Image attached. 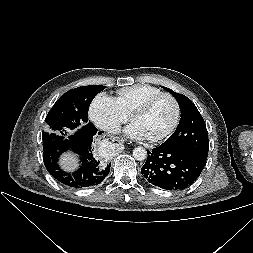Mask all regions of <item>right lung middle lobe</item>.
Returning <instances> with one entry per match:
<instances>
[{"mask_svg": "<svg viewBox=\"0 0 253 253\" xmlns=\"http://www.w3.org/2000/svg\"><path fill=\"white\" fill-rule=\"evenodd\" d=\"M104 86H82L67 91L54 104L46 117L43 142L71 139L79 130L93 125L88 121V109Z\"/></svg>", "mask_w": 253, "mask_h": 253, "instance_id": "1", "label": "right lung middle lobe"}]
</instances>
